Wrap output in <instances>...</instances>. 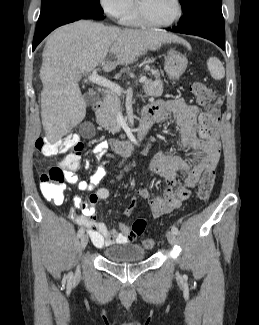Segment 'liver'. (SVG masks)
<instances>
[{"mask_svg":"<svg viewBox=\"0 0 259 325\" xmlns=\"http://www.w3.org/2000/svg\"><path fill=\"white\" fill-rule=\"evenodd\" d=\"M171 42L186 44L160 30L120 29L93 21H77L51 33L40 69L41 118L49 141L60 140L85 118L86 102L78 85L82 75L98 65L110 72ZM108 55H113L115 61L108 60Z\"/></svg>","mask_w":259,"mask_h":325,"instance_id":"1","label":"liver"}]
</instances>
